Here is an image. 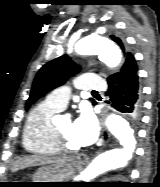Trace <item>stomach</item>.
I'll list each match as a JSON object with an SVG mask.
<instances>
[{"label":"stomach","mask_w":160,"mask_h":187,"mask_svg":"<svg viewBox=\"0 0 160 187\" xmlns=\"http://www.w3.org/2000/svg\"><path fill=\"white\" fill-rule=\"evenodd\" d=\"M78 167L73 158H63L38 169L31 182H67ZM63 183H32V187H56Z\"/></svg>","instance_id":"obj_1"}]
</instances>
